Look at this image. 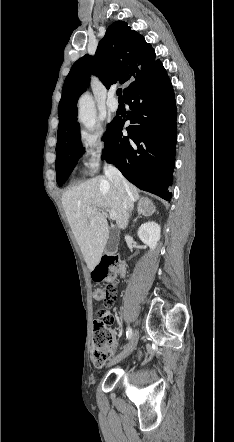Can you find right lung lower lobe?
<instances>
[{"instance_id":"right-lung-lower-lobe-1","label":"right lung lower lobe","mask_w":234,"mask_h":442,"mask_svg":"<svg viewBox=\"0 0 234 442\" xmlns=\"http://www.w3.org/2000/svg\"><path fill=\"white\" fill-rule=\"evenodd\" d=\"M131 111L124 121L114 119L105 141L103 159L113 163L138 188L169 201L176 146V104L169 77L160 62L133 81L124 94Z\"/></svg>"}]
</instances>
